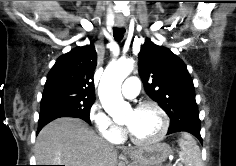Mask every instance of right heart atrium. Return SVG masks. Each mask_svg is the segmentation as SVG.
Segmentation results:
<instances>
[{
    "instance_id": "right-heart-atrium-1",
    "label": "right heart atrium",
    "mask_w": 236,
    "mask_h": 166,
    "mask_svg": "<svg viewBox=\"0 0 236 166\" xmlns=\"http://www.w3.org/2000/svg\"><path fill=\"white\" fill-rule=\"evenodd\" d=\"M89 120L98 134L111 142H119L122 129L110 118L99 103H94L89 110Z\"/></svg>"
}]
</instances>
